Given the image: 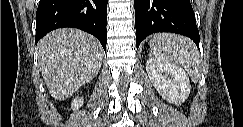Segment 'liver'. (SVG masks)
I'll return each mask as SVG.
<instances>
[{"mask_svg": "<svg viewBox=\"0 0 243 127\" xmlns=\"http://www.w3.org/2000/svg\"><path fill=\"white\" fill-rule=\"evenodd\" d=\"M38 60L49 93L61 101L97 76L102 48L94 36L77 29L62 28L39 41Z\"/></svg>", "mask_w": 243, "mask_h": 127, "instance_id": "liver-1", "label": "liver"}]
</instances>
